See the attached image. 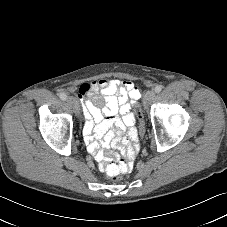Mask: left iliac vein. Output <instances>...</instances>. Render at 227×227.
Returning a JSON list of instances; mask_svg holds the SVG:
<instances>
[{
    "label": "left iliac vein",
    "instance_id": "4c4485c4",
    "mask_svg": "<svg viewBox=\"0 0 227 227\" xmlns=\"http://www.w3.org/2000/svg\"><path fill=\"white\" fill-rule=\"evenodd\" d=\"M155 97V92L154 91H148L144 98H143V105L145 108H148L150 103L152 102V100L154 99Z\"/></svg>",
    "mask_w": 227,
    "mask_h": 227
}]
</instances>
